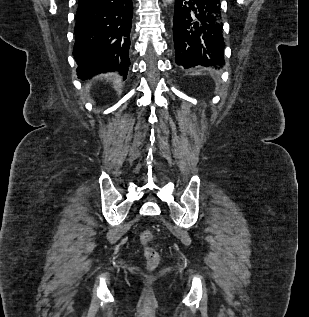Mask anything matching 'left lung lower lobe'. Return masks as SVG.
Segmentation results:
<instances>
[{
    "label": "left lung lower lobe",
    "instance_id": "1",
    "mask_svg": "<svg viewBox=\"0 0 309 317\" xmlns=\"http://www.w3.org/2000/svg\"><path fill=\"white\" fill-rule=\"evenodd\" d=\"M173 38L177 65L222 66L225 42L220 0H175Z\"/></svg>",
    "mask_w": 309,
    "mask_h": 317
}]
</instances>
